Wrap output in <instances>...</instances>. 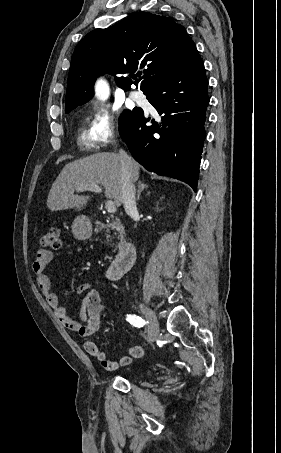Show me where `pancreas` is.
Returning a JSON list of instances; mask_svg holds the SVG:
<instances>
[{"instance_id": "cf45deb5", "label": "pancreas", "mask_w": 281, "mask_h": 453, "mask_svg": "<svg viewBox=\"0 0 281 453\" xmlns=\"http://www.w3.org/2000/svg\"><path fill=\"white\" fill-rule=\"evenodd\" d=\"M110 227L113 231V229H117L119 231L121 239H123L125 235L124 227L123 224H121L120 220H114L112 218V222H107V224H99L98 231H102V229H106V233H110ZM109 237V235H108Z\"/></svg>"}]
</instances>
